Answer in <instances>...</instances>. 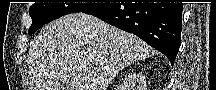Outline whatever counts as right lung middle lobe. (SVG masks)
<instances>
[{
  "label": "right lung middle lobe",
  "mask_w": 216,
  "mask_h": 90,
  "mask_svg": "<svg viewBox=\"0 0 216 90\" xmlns=\"http://www.w3.org/2000/svg\"><path fill=\"white\" fill-rule=\"evenodd\" d=\"M107 3H34L29 9L32 24L28 30L29 35L41 28L44 24L61 16L86 12L90 9L103 6Z\"/></svg>",
  "instance_id": "obj_1"
}]
</instances>
